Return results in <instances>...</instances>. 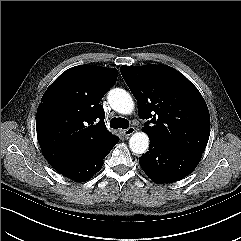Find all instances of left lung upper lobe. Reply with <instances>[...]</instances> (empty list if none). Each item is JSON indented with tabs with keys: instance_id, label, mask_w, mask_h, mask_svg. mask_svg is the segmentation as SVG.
Instances as JSON below:
<instances>
[{
	"instance_id": "1",
	"label": "left lung upper lobe",
	"mask_w": 241,
	"mask_h": 241,
	"mask_svg": "<svg viewBox=\"0 0 241 241\" xmlns=\"http://www.w3.org/2000/svg\"><path fill=\"white\" fill-rule=\"evenodd\" d=\"M120 72L148 119L142 130L150 140L202 154L210 132V115L198 89L167 65L121 66Z\"/></svg>"
}]
</instances>
